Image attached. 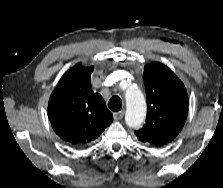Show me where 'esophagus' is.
Segmentation results:
<instances>
[{
  "label": "esophagus",
  "mask_w": 223,
  "mask_h": 188,
  "mask_svg": "<svg viewBox=\"0 0 223 188\" xmlns=\"http://www.w3.org/2000/svg\"><path fill=\"white\" fill-rule=\"evenodd\" d=\"M124 116V111H118L113 113V117L115 120H120Z\"/></svg>",
  "instance_id": "34e87169"
}]
</instances>
